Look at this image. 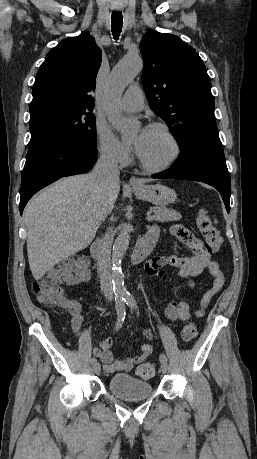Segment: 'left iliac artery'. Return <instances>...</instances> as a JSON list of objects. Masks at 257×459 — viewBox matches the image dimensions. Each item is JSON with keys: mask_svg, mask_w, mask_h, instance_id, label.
Segmentation results:
<instances>
[{"mask_svg": "<svg viewBox=\"0 0 257 459\" xmlns=\"http://www.w3.org/2000/svg\"><path fill=\"white\" fill-rule=\"evenodd\" d=\"M123 297H124V301L126 302V304L131 309H136L137 308L136 301H135V298L133 297V295H131L130 293H127ZM159 360H160V362H167L166 355L164 353L160 354Z\"/></svg>", "mask_w": 257, "mask_h": 459, "instance_id": "44dca946", "label": "left iliac artery"}]
</instances>
